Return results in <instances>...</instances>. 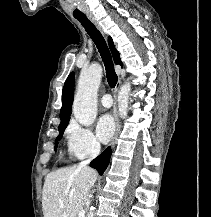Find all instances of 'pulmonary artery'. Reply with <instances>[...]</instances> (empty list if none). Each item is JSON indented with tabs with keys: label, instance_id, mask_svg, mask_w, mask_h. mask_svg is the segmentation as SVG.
<instances>
[{
	"label": "pulmonary artery",
	"instance_id": "obj_1",
	"mask_svg": "<svg viewBox=\"0 0 211 217\" xmlns=\"http://www.w3.org/2000/svg\"><path fill=\"white\" fill-rule=\"evenodd\" d=\"M101 105L104 107V108H110L113 104V100H112V97L111 95L109 94H105L101 97Z\"/></svg>",
	"mask_w": 211,
	"mask_h": 217
}]
</instances>
